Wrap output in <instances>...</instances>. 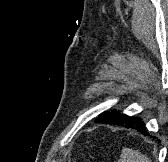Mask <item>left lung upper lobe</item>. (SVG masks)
Masks as SVG:
<instances>
[{"instance_id": "1", "label": "left lung upper lobe", "mask_w": 168, "mask_h": 162, "mask_svg": "<svg viewBox=\"0 0 168 162\" xmlns=\"http://www.w3.org/2000/svg\"><path fill=\"white\" fill-rule=\"evenodd\" d=\"M101 116H102V114H100V115L98 116L97 120H98V119H100V118H101Z\"/></svg>"}]
</instances>
